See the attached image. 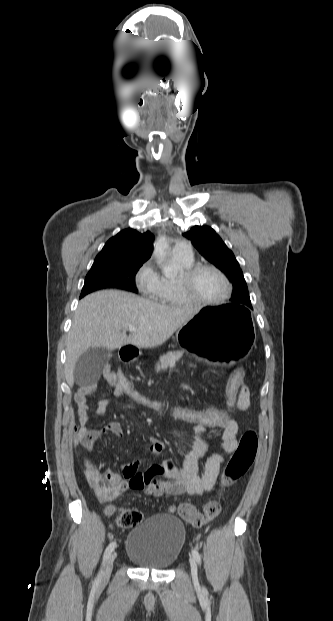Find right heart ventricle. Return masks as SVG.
<instances>
[{
  "mask_svg": "<svg viewBox=\"0 0 333 621\" xmlns=\"http://www.w3.org/2000/svg\"><path fill=\"white\" fill-rule=\"evenodd\" d=\"M173 261L178 265L181 272L193 266V259L173 256ZM153 298L157 302L169 306L188 304V301L183 297L180 291L178 278L161 277L159 289Z\"/></svg>",
  "mask_w": 333,
  "mask_h": 621,
  "instance_id": "right-heart-ventricle-1",
  "label": "right heart ventricle"
}]
</instances>
